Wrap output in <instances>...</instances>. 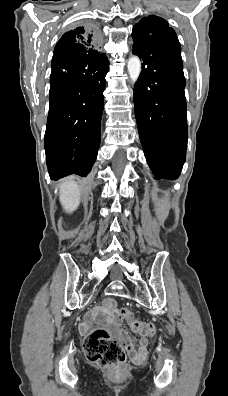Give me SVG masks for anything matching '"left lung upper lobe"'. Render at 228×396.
I'll return each instance as SVG.
<instances>
[{
    "instance_id": "left-lung-upper-lobe-1",
    "label": "left lung upper lobe",
    "mask_w": 228,
    "mask_h": 396,
    "mask_svg": "<svg viewBox=\"0 0 228 396\" xmlns=\"http://www.w3.org/2000/svg\"><path fill=\"white\" fill-rule=\"evenodd\" d=\"M134 39L150 38L158 43L181 50L175 31L168 22L158 16L149 15L135 24L132 31Z\"/></svg>"
}]
</instances>
